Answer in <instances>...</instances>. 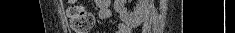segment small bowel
<instances>
[{
    "label": "small bowel",
    "instance_id": "1",
    "mask_svg": "<svg viewBox=\"0 0 235 33\" xmlns=\"http://www.w3.org/2000/svg\"><path fill=\"white\" fill-rule=\"evenodd\" d=\"M98 7V17L102 20L111 18L112 12L110 10L109 0H96ZM116 33H131V29L124 23H120L117 27Z\"/></svg>",
    "mask_w": 235,
    "mask_h": 33
}]
</instances>
